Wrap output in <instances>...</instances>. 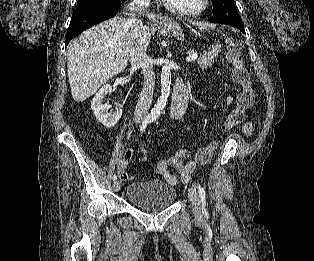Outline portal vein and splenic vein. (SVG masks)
I'll list each match as a JSON object with an SVG mask.
<instances>
[{"label": "portal vein and splenic vein", "instance_id": "portal-vein-and-splenic-vein-1", "mask_svg": "<svg viewBox=\"0 0 314 261\" xmlns=\"http://www.w3.org/2000/svg\"><path fill=\"white\" fill-rule=\"evenodd\" d=\"M197 57H198L197 53H194V54L190 55V57L187 58L186 60L187 61H196Z\"/></svg>", "mask_w": 314, "mask_h": 261}]
</instances>
